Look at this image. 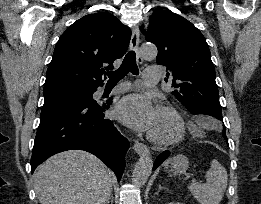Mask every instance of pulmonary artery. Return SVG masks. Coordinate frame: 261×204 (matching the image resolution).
<instances>
[{"instance_id":"pulmonary-artery-1","label":"pulmonary artery","mask_w":261,"mask_h":204,"mask_svg":"<svg viewBox=\"0 0 261 204\" xmlns=\"http://www.w3.org/2000/svg\"><path fill=\"white\" fill-rule=\"evenodd\" d=\"M161 77V72L158 67H148L145 69L143 74V80L147 84H156ZM130 88L129 83H123L118 86H116L112 92L113 93H121L125 92Z\"/></svg>"}]
</instances>
